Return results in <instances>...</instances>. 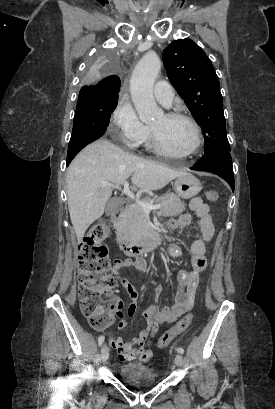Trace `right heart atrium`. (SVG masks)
I'll use <instances>...</instances> for the list:
<instances>
[{"instance_id":"right-heart-atrium-1","label":"right heart atrium","mask_w":275,"mask_h":409,"mask_svg":"<svg viewBox=\"0 0 275 409\" xmlns=\"http://www.w3.org/2000/svg\"><path fill=\"white\" fill-rule=\"evenodd\" d=\"M111 125L116 143H126V152H136L144 142L147 126L139 119L135 110L126 102L120 101L111 116Z\"/></svg>"}]
</instances>
